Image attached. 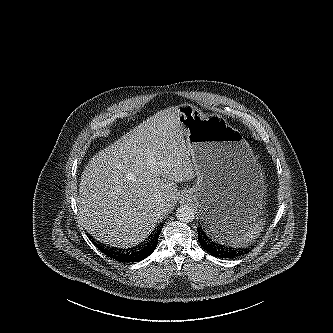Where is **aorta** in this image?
I'll return each mask as SVG.
<instances>
[{
  "label": "aorta",
  "instance_id": "obj_1",
  "mask_svg": "<svg viewBox=\"0 0 333 333\" xmlns=\"http://www.w3.org/2000/svg\"><path fill=\"white\" fill-rule=\"evenodd\" d=\"M176 217L179 221L184 223L192 222L195 218L194 209L188 205H182L177 209Z\"/></svg>",
  "mask_w": 333,
  "mask_h": 333
}]
</instances>
